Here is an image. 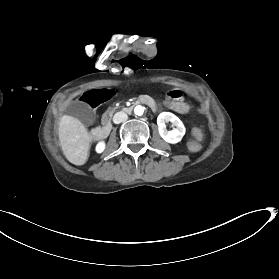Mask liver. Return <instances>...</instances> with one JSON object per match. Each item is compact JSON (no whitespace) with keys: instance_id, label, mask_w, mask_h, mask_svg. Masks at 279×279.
I'll list each match as a JSON object with an SVG mask.
<instances>
[{"instance_id":"1","label":"liver","mask_w":279,"mask_h":279,"mask_svg":"<svg viewBox=\"0 0 279 279\" xmlns=\"http://www.w3.org/2000/svg\"><path fill=\"white\" fill-rule=\"evenodd\" d=\"M58 137L66 159L76 166L84 165L90 148V137L84 124L73 116L63 115Z\"/></svg>"}]
</instances>
